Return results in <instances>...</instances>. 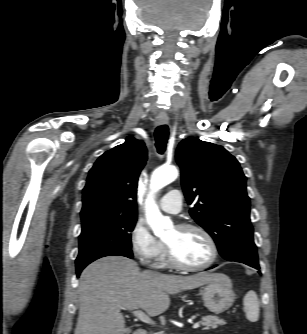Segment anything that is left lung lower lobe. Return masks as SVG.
Masks as SVG:
<instances>
[{"label":"left lung lower lobe","mask_w":307,"mask_h":334,"mask_svg":"<svg viewBox=\"0 0 307 334\" xmlns=\"http://www.w3.org/2000/svg\"><path fill=\"white\" fill-rule=\"evenodd\" d=\"M228 261L241 262L255 269H260L257 249L254 242H239L231 251V255L225 258ZM260 273V271H259Z\"/></svg>","instance_id":"obj_1"}]
</instances>
